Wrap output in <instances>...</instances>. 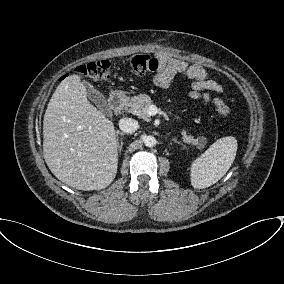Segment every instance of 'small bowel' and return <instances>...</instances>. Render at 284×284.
<instances>
[{
	"label": "small bowel",
	"mask_w": 284,
	"mask_h": 284,
	"mask_svg": "<svg viewBox=\"0 0 284 284\" xmlns=\"http://www.w3.org/2000/svg\"><path fill=\"white\" fill-rule=\"evenodd\" d=\"M160 66L154 76V84L159 88H167L173 78L181 74L194 80L189 89L192 99L200 100L204 104L209 102L207 91L221 92V86L214 80L208 78L206 69L200 64L188 63L187 61L165 54H159Z\"/></svg>",
	"instance_id": "c3829d8e"
}]
</instances>
